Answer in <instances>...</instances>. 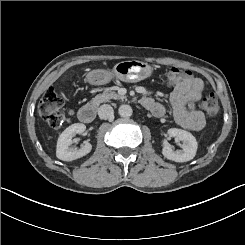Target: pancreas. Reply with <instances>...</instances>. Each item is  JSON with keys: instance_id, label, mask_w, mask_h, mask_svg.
Listing matches in <instances>:
<instances>
[{"instance_id": "1", "label": "pancreas", "mask_w": 245, "mask_h": 245, "mask_svg": "<svg viewBox=\"0 0 245 245\" xmlns=\"http://www.w3.org/2000/svg\"><path fill=\"white\" fill-rule=\"evenodd\" d=\"M116 98H124V97L117 94L114 91H104L102 94L93 97L89 103L98 106L102 102H106Z\"/></svg>"}]
</instances>
